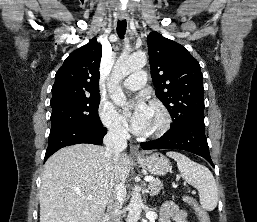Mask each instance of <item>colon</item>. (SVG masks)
<instances>
[{
  "label": "colon",
  "mask_w": 257,
  "mask_h": 222,
  "mask_svg": "<svg viewBox=\"0 0 257 222\" xmlns=\"http://www.w3.org/2000/svg\"><path fill=\"white\" fill-rule=\"evenodd\" d=\"M185 200L194 206V210L197 214L199 222H210V217L208 213L203 208L198 206L191 197H185Z\"/></svg>",
  "instance_id": "5ec220e1"
}]
</instances>
